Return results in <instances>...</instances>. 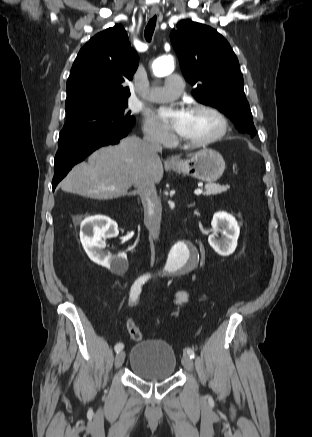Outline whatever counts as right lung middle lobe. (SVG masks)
I'll use <instances>...</instances> for the list:
<instances>
[{
  "mask_svg": "<svg viewBox=\"0 0 312 437\" xmlns=\"http://www.w3.org/2000/svg\"><path fill=\"white\" fill-rule=\"evenodd\" d=\"M127 101L83 102L65 108L66 123L60 132L58 148H66L96 136L130 129L136 120L126 110Z\"/></svg>",
  "mask_w": 312,
  "mask_h": 437,
  "instance_id": "1",
  "label": "right lung middle lobe"
}]
</instances>
